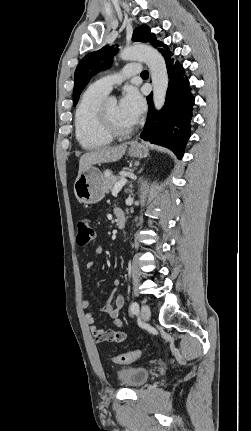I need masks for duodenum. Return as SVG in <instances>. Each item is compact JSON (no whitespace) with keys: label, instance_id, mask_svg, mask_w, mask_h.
<instances>
[{"label":"duodenum","instance_id":"410a0bca","mask_svg":"<svg viewBox=\"0 0 251 431\" xmlns=\"http://www.w3.org/2000/svg\"><path fill=\"white\" fill-rule=\"evenodd\" d=\"M115 215H116L117 227L120 229L123 228L126 222V217L124 212L122 210H116Z\"/></svg>","mask_w":251,"mask_h":431}]
</instances>
